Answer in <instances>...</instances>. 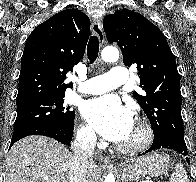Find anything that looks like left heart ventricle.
Listing matches in <instances>:
<instances>
[{"mask_svg": "<svg viewBox=\"0 0 196 182\" xmlns=\"http://www.w3.org/2000/svg\"><path fill=\"white\" fill-rule=\"evenodd\" d=\"M141 136L140 128L138 124L134 121L133 126L131 128V131L126 136L125 139H123L120 144L121 145H132L139 141Z\"/></svg>", "mask_w": 196, "mask_h": 182, "instance_id": "1", "label": "left heart ventricle"}]
</instances>
